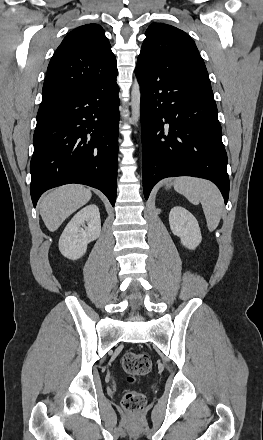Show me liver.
<instances>
[{
    "mask_svg": "<svg viewBox=\"0 0 263 440\" xmlns=\"http://www.w3.org/2000/svg\"><path fill=\"white\" fill-rule=\"evenodd\" d=\"M92 193L82 185H65L58 187L43 197L40 202V215L51 232L77 209L91 199Z\"/></svg>",
    "mask_w": 263,
    "mask_h": 440,
    "instance_id": "obj_1",
    "label": "liver"
}]
</instances>
